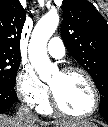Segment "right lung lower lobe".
Listing matches in <instances>:
<instances>
[{
  "label": "right lung lower lobe",
  "mask_w": 108,
  "mask_h": 127,
  "mask_svg": "<svg viewBox=\"0 0 108 127\" xmlns=\"http://www.w3.org/2000/svg\"><path fill=\"white\" fill-rule=\"evenodd\" d=\"M17 100L14 88L0 84V111L12 106Z\"/></svg>",
  "instance_id": "right-lung-lower-lobe-1"
}]
</instances>
